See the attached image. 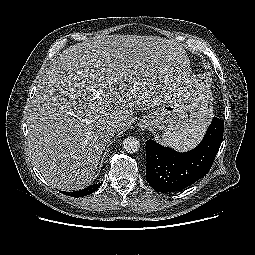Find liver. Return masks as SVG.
Listing matches in <instances>:
<instances>
[{"label": "liver", "mask_w": 255, "mask_h": 255, "mask_svg": "<svg viewBox=\"0 0 255 255\" xmlns=\"http://www.w3.org/2000/svg\"><path fill=\"white\" fill-rule=\"evenodd\" d=\"M190 73L184 48L157 36L109 35L71 45L49 66L31 106L33 164L57 189L83 188L116 131L134 121V111L159 106L173 90L189 99L198 85ZM114 118L119 126L112 131Z\"/></svg>", "instance_id": "6515ba94"}]
</instances>
